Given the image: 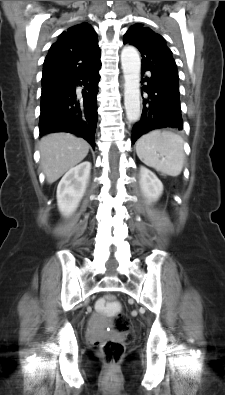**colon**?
I'll use <instances>...</instances> for the list:
<instances>
[{
    "label": "colon",
    "mask_w": 225,
    "mask_h": 395,
    "mask_svg": "<svg viewBox=\"0 0 225 395\" xmlns=\"http://www.w3.org/2000/svg\"><path fill=\"white\" fill-rule=\"evenodd\" d=\"M106 304H111L113 300H116L114 296L108 295L105 298ZM118 320L116 322V330L120 334L117 338L105 339L96 344L100 348V353L103 357L104 362L108 366L117 365L123 358L126 350V346L133 342L134 335L131 332V326L128 319H126L122 313L117 315Z\"/></svg>",
    "instance_id": "1"
}]
</instances>
